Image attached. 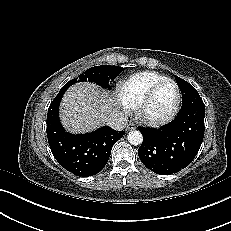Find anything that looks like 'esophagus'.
I'll list each match as a JSON object with an SVG mask.
<instances>
[{"mask_svg":"<svg viewBox=\"0 0 231 231\" xmlns=\"http://www.w3.org/2000/svg\"><path fill=\"white\" fill-rule=\"evenodd\" d=\"M133 129H135V124H133V123L127 124V126H126L127 131H130V130H133Z\"/></svg>","mask_w":231,"mask_h":231,"instance_id":"obj_1","label":"esophagus"}]
</instances>
